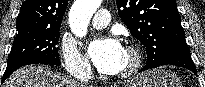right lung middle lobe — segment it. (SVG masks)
Instances as JSON below:
<instances>
[{
	"label": "right lung middle lobe",
	"instance_id": "right-lung-middle-lobe-1",
	"mask_svg": "<svg viewBox=\"0 0 205 87\" xmlns=\"http://www.w3.org/2000/svg\"><path fill=\"white\" fill-rule=\"evenodd\" d=\"M60 29H37L18 32L8 60L29 58L59 66L58 48Z\"/></svg>",
	"mask_w": 205,
	"mask_h": 87
}]
</instances>
